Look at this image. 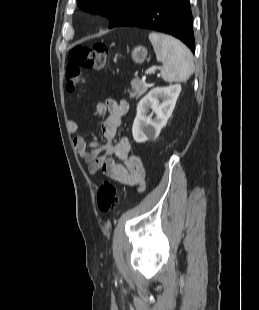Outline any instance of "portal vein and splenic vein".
I'll return each instance as SVG.
<instances>
[{"mask_svg":"<svg viewBox=\"0 0 259 310\" xmlns=\"http://www.w3.org/2000/svg\"><path fill=\"white\" fill-rule=\"evenodd\" d=\"M157 69H158L157 66H152L151 68H149V69H147V70L145 71V74H146V75H151V74H153Z\"/></svg>","mask_w":259,"mask_h":310,"instance_id":"obj_1","label":"portal vein and splenic vein"}]
</instances>
